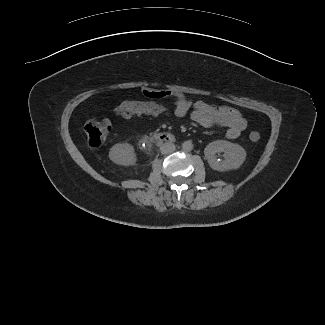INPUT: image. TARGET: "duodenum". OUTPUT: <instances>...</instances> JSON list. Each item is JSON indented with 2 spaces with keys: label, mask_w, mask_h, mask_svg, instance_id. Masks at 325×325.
<instances>
[{
  "label": "duodenum",
  "mask_w": 325,
  "mask_h": 325,
  "mask_svg": "<svg viewBox=\"0 0 325 325\" xmlns=\"http://www.w3.org/2000/svg\"><path fill=\"white\" fill-rule=\"evenodd\" d=\"M149 139L146 138L144 141L147 142ZM152 140L157 141L158 143L161 144H169V143H173L175 141V136L171 133H159L156 134Z\"/></svg>",
  "instance_id": "obj_1"
}]
</instances>
